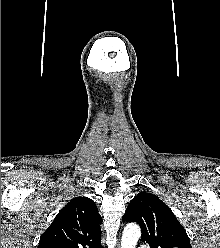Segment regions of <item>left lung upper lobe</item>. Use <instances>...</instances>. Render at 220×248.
Returning a JSON list of instances; mask_svg holds the SVG:
<instances>
[{
  "instance_id": "obj_1",
  "label": "left lung upper lobe",
  "mask_w": 220,
  "mask_h": 248,
  "mask_svg": "<svg viewBox=\"0 0 220 248\" xmlns=\"http://www.w3.org/2000/svg\"><path fill=\"white\" fill-rule=\"evenodd\" d=\"M123 221L138 223L141 241L151 248H192L184 227L156 195L140 192L131 200Z\"/></svg>"
}]
</instances>
